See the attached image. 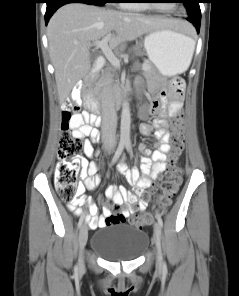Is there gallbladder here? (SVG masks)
<instances>
[{
	"mask_svg": "<svg viewBox=\"0 0 239 296\" xmlns=\"http://www.w3.org/2000/svg\"><path fill=\"white\" fill-rule=\"evenodd\" d=\"M97 58V55L95 53L90 54V63L93 64Z\"/></svg>",
	"mask_w": 239,
	"mask_h": 296,
	"instance_id": "1",
	"label": "gallbladder"
}]
</instances>
